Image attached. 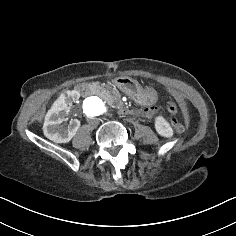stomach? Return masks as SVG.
<instances>
[{"instance_id":"0dacf381","label":"stomach","mask_w":236,"mask_h":236,"mask_svg":"<svg viewBox=\"0 0 236 236\" xmlns=\"http://www.w3.org/2000/svg\"><path fill=\"white\" fill-rule=\"evenodd\" d=\"M116 88L131 95L133 101L140 105L154 103L158 97L154 90L143 88L135 79H127L126 77H119L116 80Z\"/></svg>"}]
</instances>
